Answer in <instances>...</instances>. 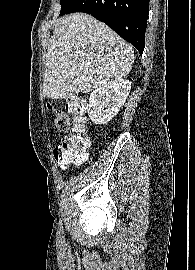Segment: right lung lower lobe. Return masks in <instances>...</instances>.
<instances>
[{
    "instance_id": "98d812e1",
    "label": "right lung lower lobe",
    "mask_w": 195,
    "mask_h": 270,
    "mask_svg": "<svg viewBox=\"0 0 195 270\" xmlns=\"http://www.w3.org/2000/svg\"><path fill=\"white\" fill-rule=\"evenodd\" d=\"M149 0H77L67 14L83 12L104 22L143 53Z\"/></svg>"
}]
</instances>
